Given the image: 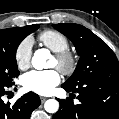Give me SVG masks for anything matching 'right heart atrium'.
<instances>
[{
	"label": "right heart atrium",
	"mask_w": 119,
	"mask_h": 119,
	"mask_svg": "<svg viewBox=\"0 0 119 119\" xmlns=\"http://www.w3.org/2000/svg\"><path fill=\"white\" fill-rule=\"evenodd\" d=\"M32 57V41L25 38L20 42L15 51V61L19 69L25 70L30 66Z\"/></svg>",
	"instance_id": "1"
}]
</instances>
